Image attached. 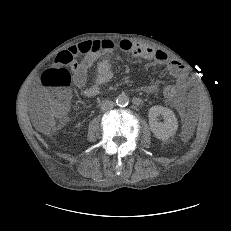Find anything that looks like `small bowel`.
I'll return each mask as SVG.
<instances>
[{"instance_id":"small-bowel-1","label":"small bowel","mask_w":231,"mask_h":231,"mask_svg":"<svg viewBox=\"0 0 231 231\" xmlns=\"http://www.w3.org/2000/svg\"><path fill=\"white\" fill-rule=\"evenodd\" d=\"M118 47L123 52L134 57L154 60L156 63L164 65L168 72L175 78V85L179 90H184L191 84V77L185 67L180 62L171 59L164 51L140 45L130 40H121L118 43ZM115 48L116 44L112 40L102 39L82 42L62 52L63 59L61 64L69 66L72 69L74 85L83 89L84 96L89 98L95 97L100 93L102 87L113 77L110 58L114 54ZM79 56L82 59L76 61L75 58ZM96 61L98 63L95 81L92 85L86 87L88 71ZM157 87V84H150L145 87V91L153 93L157 90ZM166 102L171 106L179 104L177 97L173 100L166 99Z\"/></svg>"}]
</instances>
